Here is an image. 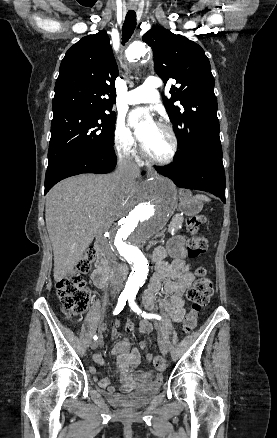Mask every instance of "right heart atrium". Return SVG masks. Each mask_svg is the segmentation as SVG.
I'll use <instances>...</instances> for the list:
<instances>
[{"label":"right heart atrium","instance_id":"right-heart-atrium-1","mask_svg":"<svg viewBox=\"0 0 277 438\" xmlns=\"http://www.w3.org/2000/svg\"><path fill=\"white\" fill-rule=\"evenodd\" d=\"M115 144L122 156H133L136 151V141L133 133L122 119L118 120L116 124Z\"/></svg>","mask_w":277,"mask_h":438}]
</instances>
